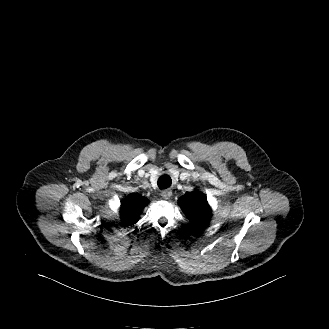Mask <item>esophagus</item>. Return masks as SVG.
<instances>
[{"instance_id": "esophagus-1", "label": "esophagus", "mask_w": 329, "mask_h": 329, "mask_svg": "<svg viewBox=\"0 0 329 329\" xmlns=\"http://www.w3.org/2000/svg\"><path fill=\"white\" fill-rule=\"evenodd\" d=\"M162 197L166 200L170 199L171 196H172V191L171 190H164L162 193H161Z\"/></svg>"}]
</instances>
